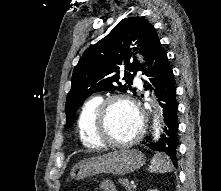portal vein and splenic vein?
Listing matches in <instances>:
<instances>
[{
  "mask_svg": "<svg viewBox=\"0 0 221 191\" xmlns=\"http://www.w3.org/2000/svg\"><path fill=\"white\" fill-rule=\"evenodd\" d=\"M131 185L133 186V188L136 187V185L134 184V181H131Z\"/></svg>",
  "mask_w": 221,
  "mask_h": 191,
  "instance_id": "obj_1",
  "label": "portal vein and splenic vein"
}]
</instances>
